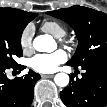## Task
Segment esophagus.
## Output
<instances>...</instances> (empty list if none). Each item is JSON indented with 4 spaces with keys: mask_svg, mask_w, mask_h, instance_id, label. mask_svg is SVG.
I'll return each instance as SVG.
<instances>
[{
    "mask_svg": "<svg viewBox=\"0 0 107 107\" xmlns=\"http://www.w3.org/2000/svg\"><path fill=\"white\" fill-rule=\"evenodd\" d=\"M42 78H52L54 75L53 74H42Z\"/></svg>",
    "mask_w": 107,
    "mask_h": 107,
    "instance_id": "obj_1",
    "label": "esophagus"
}]
</instances>
